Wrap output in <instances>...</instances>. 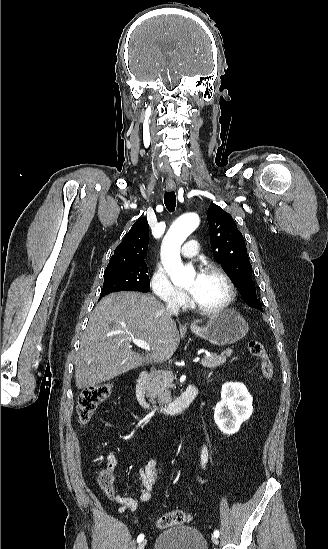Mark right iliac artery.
<instances>
[{
	"label": "right iliac artery",
	"mask_w": 328,
	"mask_h": 549,
	"mask_svg": "<svg viewBox=\"0 0 328 549\" xmlns=\"http://www.w3.org/2000/svg\"><path fill=\"white\" fill-rule=\"evenodd\" d=\"M143 539H144V534H140V535L137 537V542H141Z\"/></svg>",
	"instance_id": "obj_1"
}]
</instances>
